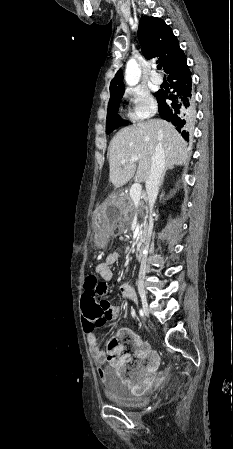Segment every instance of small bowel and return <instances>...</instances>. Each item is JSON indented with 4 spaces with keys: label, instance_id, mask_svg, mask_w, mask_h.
Listing matches in <instances>:
<instances>
[{
    "label": "small bowel",
    "instance_id": "small-bowel-1",
    "mask_svg": "<svg viewBox=\"0 0 233 449\" xmlns=\"http://www.w3.org/2000/svg\"><path fill=\"white\" fill-rule=\"evenodd\" d=\"M119 253L117 251L110 252L105 261L96 266V273L99 279L96 282L94 290L97 293V301L99 306L103 309L105 315L103 324L106 322H112L116 320L120 313V307L115 305L110 299H106L109 296L110 287L108 282L113 279L114 272L112 266L118 261ZM120 294L125 299H131L132 295L136 294V288L130 284H123L120 286ZM83 310V309H82ZM87 334V340L92 357L97 365V371L101 379H106L109 367L112 368L115 375L120 378L123 384H127L133 387L135 399H148L150 384H152V378L154 372L158 368L159 357L158 354L150 347L146 342H143L139 336L133 335L130 342V346L134 349V356L139 360V363L131 366L132 360L129 354H122L126 344L120 345V364L111 361L108 358V353L105 352L100 344L95 333V328H84ZM131 366V367H129ZM131 370V378L126 379L124 374Z\"/></svg>",
    "mask_w": 233,
    "mask_h": 449
}]
</instances>
